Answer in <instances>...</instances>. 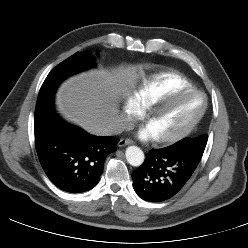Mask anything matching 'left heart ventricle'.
<instances>
[{
  "mask_svg": "<svg viewBox=\"0 0 248 248\" xmlns=\"http://www.w3.org/2000/svg\"><path fill=\"white\" fill-rule=\"evenodd\" d=\"M203 104V97L198 94L179 98L155 115L148 127L157 137L176 133L201 112Z\"/></svg>",
  "mask_w": 248,
  "mask_h": 248,
  "instance_id": "b2bd125f",
  "label": "left heart ventricle"
}]
</instances>
